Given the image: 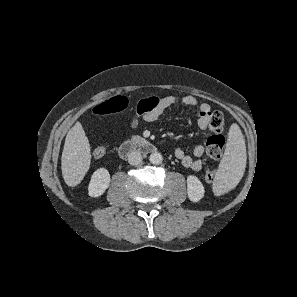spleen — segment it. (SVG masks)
Masks as SVG:
<instances>
[{
  "label": "spleen",
  "instance_id": "3e777b00",
  "mask_svg": "<svg viewBox=\"0 0 297 297\" xmlns=\"http://www.w3.org/2000/svg\"><path fill=\"white\" fill-rule=\"evenodd\" d=\"M246 146L243 134L237 124L229 130L228 142L218 169L222 189H232L241 180L246 167Z\"/></svg>",
  "mask_w": 297,
  "mask_h": 297
}]
</instances>
